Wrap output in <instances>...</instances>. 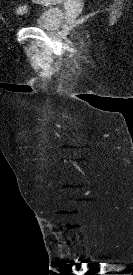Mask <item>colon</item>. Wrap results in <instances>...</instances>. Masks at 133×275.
I'll use <instances>...</instances> for the list:
<instances>
[{"mask_svg": "<svg viewBox=\"0 0 133 275\" xmlns=\"http://www.w3.org/2000/svg\"><path fill=\"white\" fill-rule=\"evenodd\" d=\"M24 11H25V7H21V8L18 9V12H19V13H22V12H24Z\"/></svg>", "mask_w": 133, "mask_h": 275, "instance_id": "1", "label": "colon"}]
</instances>
